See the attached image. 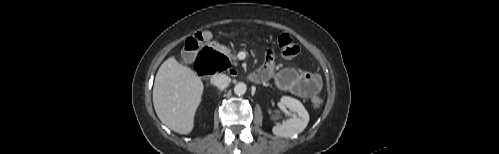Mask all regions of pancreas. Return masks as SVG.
<instances>
[{"instance_id": "obj_1", "label": "pancreas", "mask_w": 499, "mask_h": 154, "mask_svg": "<svg viewBox=\"0 0 499 154\" xmlns=\"http://www.w3.org/2000/svg\"><path fill=\"white\" fill-rule=\"evenodd\" d=\"M221 50L226 56H228L230 60L234 61L236 59V56L232 55L231 51L228 48L222 47Z\"/></svg>"}]
</instances>
